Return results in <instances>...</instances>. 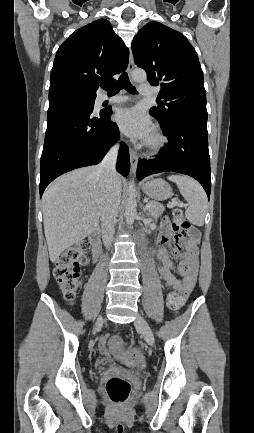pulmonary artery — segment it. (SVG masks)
<instances>
[{
  "label": "pulmonary artery",
  "instance_id": "pulmonary-artery-1",
  "mask_svg": "<svg viewBox=\"0 0 254 433\" xmlns=\"http://www.w3.org/2000/svg\"><path fill=\"white\" fill-rule=\"evenodd\" d=\"M139 92L142 95L150 96L155 94V89L150 85L141 84L139 86ZM104 100H109L112 103H124L128 100V97L126 96H114L111 98L104 97Z\"/></svg>",
  "mask_w": 254,
  "mask_h": 433
}]
</instances>
